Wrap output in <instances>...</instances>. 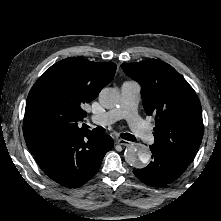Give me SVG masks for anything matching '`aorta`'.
<instances>
[{
  "mask_svg": "<svg viewBox=\"0 0 221 221\" xmlns=\"http://www.w3.org/2000/svg\"><path fill=\"white\" fill-rule=\"evenodd\" d=\"M119 99V92L114 88H104L99 94V102L106 109L114 108ZM124 158L130 166L140 168L149 162L150 153L145 145L131 144L125 149Z\"/></svg>",
  "mask_w": 221,
  "mask_h": 221,
  "instance_id": "1",
  "label": "aorta"
}]
</instances>
